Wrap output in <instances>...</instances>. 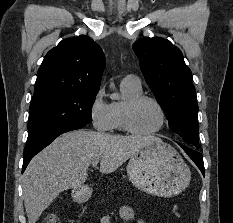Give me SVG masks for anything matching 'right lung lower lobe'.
Instances as JSON below:
<instances>
[{
  "instance_id": "right-lung-lower-lobe-1",
  "label": "right lung lower lobe",
  "mask_w": 233,
  "mask_h": 223,
  "mask_svg": "<svg viewBox=\"0 0 233 223\" xmlns=\"http://www.w3.org/2000/svg\"><path fill=\"white\" fill-rule=\"evenodd\" d=\"M84 126H80V125H70L67 127H64L63 129H61L57 134H55L54 136H52L51 138H49L42 146H40L38 149H36L35 151H33L32 153L25 155V160L23 163V168H22V173L24 172V170L26 169L28 163L30 162V160L38 153L40 152L43 148H45L46 146H48L55 138H57L59 135L68 132V131H72V130H76V129H80Z\"/></svg>"
}]
</instances>
